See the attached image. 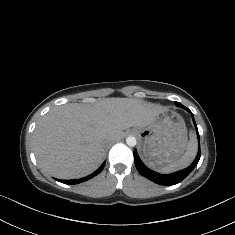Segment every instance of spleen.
Listing matches in <instances>:
<instances>
[{"mask_svg":"<svg viewBox=\"0 0 235 235\" xmlns=\"http://www.w3.org/2000/svg\"><path fill=\"white\" fill-rule=\"evenodd\" d=\"M197 150L198 143L196 136L193 131H190V140L184 154L177 160H174L162 167L155 168V171L162 174H169L187 168L195 159Z\"/></svg>","mask_w":235,"mask_h":235,"instance_id":"spleen-1","label":"spleen"}]
</instances>
